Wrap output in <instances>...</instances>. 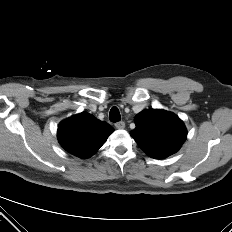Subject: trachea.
I'll return each mask as SVG.
<instances>
[{
  "label": "trachea",
  "mask_w": 232,
  "mask_h": 232,
  "mask_svg": "<svg viewBox=\"0 0 232 232\" xmlns=\"http://www.w3.org/2000/svg\"><path fill=\"white\" fill-rule=\"evenodd\" d=\"M110 121L118 122L121 120L120 112L117 107H112L109 113Z\"/></svg>",
  "instance_id": "obj_1"
}]
</instances>
